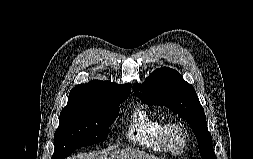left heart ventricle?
Returning a JSON list of instances; mask_svg holds the SVG:
<instances>
[{
    "mask_svg": "<svg viewBox=\"0 0 253 159\" xmlns=\"http://www.w3.org/2000/svg\"><path fill=\"white\" fill-rule=\"evenodd\" d=\"M181 138L178 133H173L170 136V144L172 145L173 148L179 149L181 147Z\"/></svg>",
    "mask_w": 253,
    "mask_h": 159,
    "instance_id": "b2bd125f",
    "label": "left heart ventricle"
}]
</instances>
